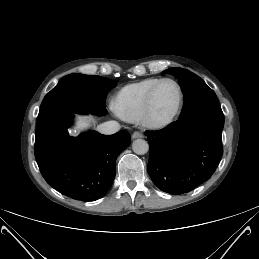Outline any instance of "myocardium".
Masks as SVG:
<instances>
[{
  "label": "myocardium",
  "instance_id": "obj_1",
  "mask_svg": "<svg viewBox=\"0 0 259 259\" xmlns=\"http://www.w3.org/2000/svg\"><path fill=\"white\" fill-rule=\"evenodd\" d=\"M164 82H170L176 87L177 92H178V101H177L176 108L172 112V114L166 118L160 119V118H156L154 116L153 105H154V97H155L156 90ZM183 101H184L183 90H182L180 84L176 80H174L172 78L160 79L152 86V88L150 89V91L147 95L144 109H143L142 115L140 117L142 123L146 127L151 128V129H162V128L169 126L179 116V114L182 110V107H183Z\"/></svg>",
  "mask_w": 259,
  "mask_h": 259
}]
</instances>
